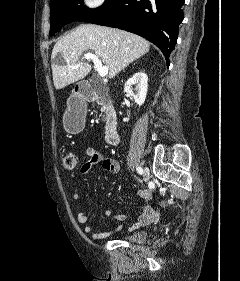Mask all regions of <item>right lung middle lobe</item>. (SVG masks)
Returning <instances> with one entry per match:
<instances>
[{
	"label": "right lung middle lobe",
	"mask_w": 240,
	"mask_h": 281,
	"mask_svg": "<svg viewBox=\"0 0 240 281\" xmlns=\"http://www.w3.org/2000/svg\"><path fill=\"white\" fill-rule=\"evenodd\" d=\"M118 0H105L96 9H89L83 0H51L50 1V33L52 36L64 25L73 21L92 22L110 11Z\"/></svg>",
	"instance_id": "right-lung-middle-lobe-1"
}]
</instances>
